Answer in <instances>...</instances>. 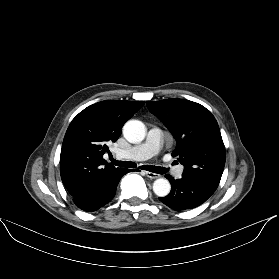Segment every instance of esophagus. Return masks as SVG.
Masks as SVG:
<instances>
[{"label":"esophagus","mask_w":279,"mask_h":279,"mask_svg":"<svg viewBox=\"0 0 279 279\" xmlns=\"http://www.w3.org/2000/svg\"><path fill=\"white\" fill-rule=\"evenodd\" d=\"M145 174H146L147 177H149L151 179H156V178L160 177L159 174H156V173H153V172H149V171H146Z\"/></svg>","instance_id":"esophagus-1"}]
</instances>
